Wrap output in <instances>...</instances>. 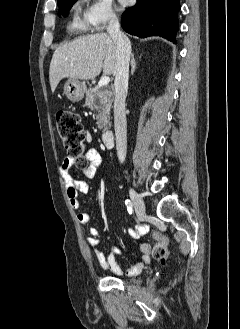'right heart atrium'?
Segmentation results:
<instances>
[{"label": "right heart atrium", "instance_id": "d8ad5b80", "mask_svg": "<svg viewBox=\"0 0 240 329\" xmlns=\"http://www.w3.org/2000/svg\"><path fill=\"white\" fill-rule=\"evenodd\" d=\"M84 18L88 27L96 32L103 31L118 19L112 0H92Z\"/></svg>", "mask_w": 240, "mask_h": 329}]
</instances>
